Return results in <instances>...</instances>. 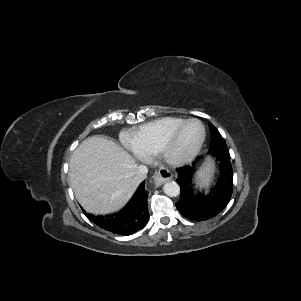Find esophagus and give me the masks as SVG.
<instances>
[{
	"label": "esophagus",
	"instance_id": "obj_1",
	"mask_svg": "<svg viewBox=\"0 0 301 301\" xmlns=\"http://www.w3.org/2000/svg\"><path fill=\"white\" fill-rule=\"evenodd\" d=\"M173 178L172 173L167 168L159 169L153 176L154 184L156 186H161L166 181Z\"/></svg>",
	"mask_w": 301,
	"mask_h": 301
}]
</instances>
